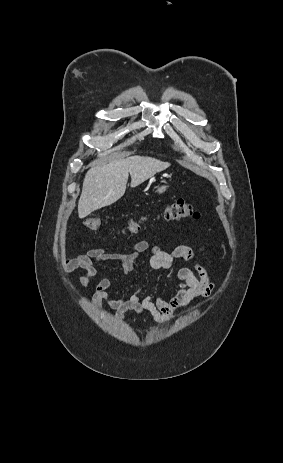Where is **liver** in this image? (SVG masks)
<instances>
[{
  "label": "liver",
  "mask_w": 283,
  "mask_h": 463,
  "mask_svg": "<svg viewBox=\"0 0 283 463\" xmlns=\"http://www.w3.org/2000/svg\"><path fill=\"white\" fill-rule=\"evenodd\" d=\"M169 166L168 162L136 155L91 167L85 175L78 202L79 218L119 200L126 191L129 173L134 188Z\"/></svg>",
  "instance_id": "liver-1"
}]
</instances>
